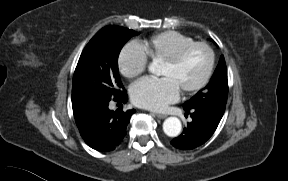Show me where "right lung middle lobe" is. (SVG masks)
Wrapping results in <instances>:
<instances>
[{
    "label": "right lung middle lobe",
    "mask_w": 288,
    "mask_h": 181,
    "mask_svg": "<svg viewBox=\"0 0 288 181\" xmlns=\"http://www.w3.org/2000/svg\"><path fill=\"white\" fill-rule=\"evenodd\" d=\"M138 32L120 26H106L84 48L76 66L72 103L96 107L121 95L118 56L123 45Z\"/></svg>",
    "instance_id": "1"
}]
</instances>
